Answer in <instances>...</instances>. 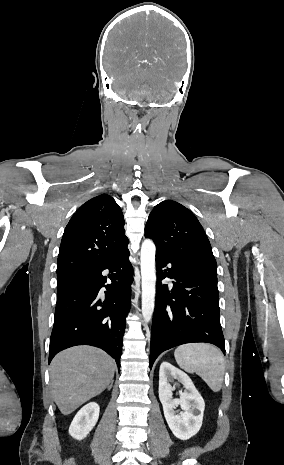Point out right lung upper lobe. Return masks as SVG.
<instances>
[{
	"instance_id": "1",
	"label": "right lung upper lobe",
	"mask_w": 284,
	"mask_h": 465,
	"mask_svg": "<svg viewBox=\"0 0 284 465\" xmlns=\"http://www.w3.org/2000/svg\"><path fill=\"white\" fill-rule=\"evenodd\" d=\"M124 224L123 213L111 196L101 194L84 203L65 228L57 279L94 268L126 248Z\"/></svg>"
}]
</instances>
